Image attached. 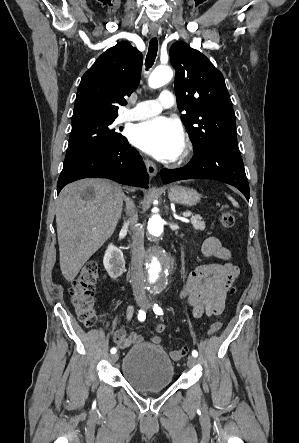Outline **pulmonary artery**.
Returning a JSON list of instances; mask_svg holds the SVG:
<instances>
[{
  "instance_id": "e3ab8cb5",
  "label": "pulmonary artery",
  "mask_w": 299,
  "mask_h": 443,
  "mask_svg": "<svg viewBox=\"0 0 299 443\" xmlns=\"http://www.w3.org/2000/svg\"><path fill=\"white\" fill-rule=\"evenodd\" d=\"M175 98L171 91H162L157 100H146L135 103L132 109L126 110L121 116L122 121H137L153 117L163 109L174 106Z\"/></svg>"
}]
</instances>
